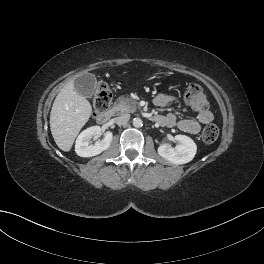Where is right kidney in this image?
<instances>
[{
	"mask_svg": "<svg viewBox=\"0 0 264 264\" xmlns=\"http://www.w3.org/2000/svg\"><path fill=\"white\" fill-rule=\"evenodd\" d=\"M101 134L100 126H92L80 133L76 140L75 151L81 157H93L107 150L112 142L113 134L108 131L101 141L90 144V139Z\"/></svg>",
	"mask_w": 264,
	"mask_h": 264,
	"instance_id": "obj_1",
	"label": "right kidney"
}]
</instances>
